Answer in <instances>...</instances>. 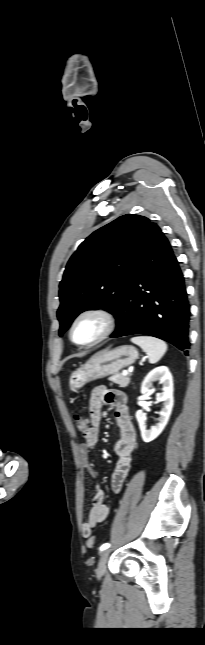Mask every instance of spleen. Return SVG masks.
Instances as JSON below:
<instances>
[{"label": "spleen", "instance_id": "spleen-1", "mask_svg": "<svg viewBox=\"0 0 205 645\" xmlns=\"http://www.w3.org/2000/svg\"><path fill=\"white\" fill-rule=\"evenodd\" d=\"M131 342L140 346L146 352L151 364L158 362L167 351V344L155 337L136 336L131 338Z\"/></svg>", "mask_w": 205, "mask_h": 645}]
</instances>
